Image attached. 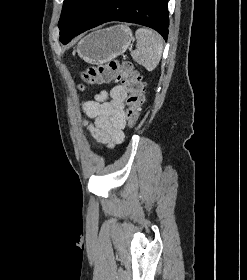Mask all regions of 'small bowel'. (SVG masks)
Masks as SVG:
<instances>
[{"mask_svg": "<svg viewBox=\"0 0 247 280\" xmlns=\"http://www.w3.org/2000/svg\"><path fill=\"white\" fill-rule=\"evenodd\" d=\"M127 92L118 85L110 91V100L106 92L98 94L93 101L84 104L86 115L93 119L88 125L93 138L108 147H113L124 141L125 114L123 102Z\"/></svg>", "mask_w": 247, "mask_h": 280, "instance_id": "obj_1", "label": "small bowel"}]
</instances>
